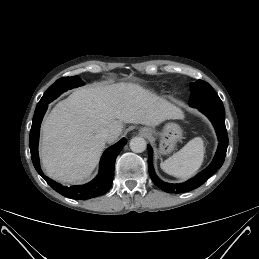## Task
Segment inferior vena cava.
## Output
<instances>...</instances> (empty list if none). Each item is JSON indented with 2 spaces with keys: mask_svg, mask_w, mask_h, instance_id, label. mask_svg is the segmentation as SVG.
Masks as SVG:
<instances>
[{
  "mask_svg": "<svg viewBox=\"0 0 259 259\" xmlns=\"http://www.w3.org/2000/svg\"><path fill=\"white\" fill-rule=\"evenodd\" d=\"M97 136L98 138L107 141L110 137V131L108 129H105L102 132H100Z\"/></svg>",
  "mask_w": 259,
  "mask_h": 259,
  "instance_id": "1",
  "label": "inferior vena cava"
}]
</instances>
